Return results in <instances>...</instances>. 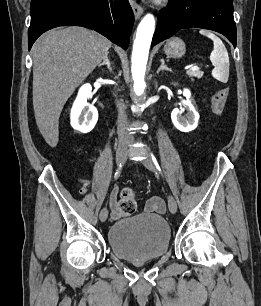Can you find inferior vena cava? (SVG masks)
<instances>
[{
    "mask_svg": "<svg viewBox=\"0 0 261 306\" xmlns=\"http://www.w3.org/2000/svg\"><path fill=\"white\" fill-rule=\"evenodd\" d=\"M117 108H118V135L122 136V135H126L127 131V116L124 110V105L117 101Z\"/></svg>",
    "mask_w": 261,
    "mask_h": 306,
    "instance_id": "602c4592",
    "label": "inferior vena cava"
}]
</instances>
